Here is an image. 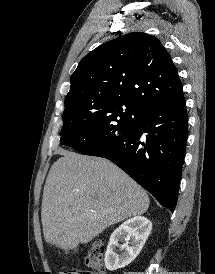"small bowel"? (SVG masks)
Masks as SVG:
<instances>
[{
  "label": "small bowel",
  "mask_w": 215,
  "mask_h": 274,
  "mask_svg": "<svg viewBox=\"0 0 215 274\" xmlns=\"http://www.w3.org/2000/svg\"><path fill=\"white\" fill-rule=\"evenodd\" d=\"M60 274H65L64 272H61Z\"/></svg>",
  "instance_id": "obj_1"
}]
</instances>
